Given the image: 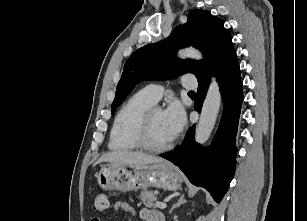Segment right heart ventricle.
<instances>
[{"mask_svg":"<svg viewBox=\"0 0 307 221\" xmlns=\"http://www.w3.org/2000/svg\"><path fill=\"white\" fill-rule=\"evenodd\" d=\"M155 103L141 91L130 97L117 112L109 137V148L115 152L136 150V130L143 113Z\"/></svg>","mask_w":307,"mask_h":221,"instance_id":"obj_1","label":"right heart ventricle"}]
</instances>
